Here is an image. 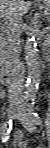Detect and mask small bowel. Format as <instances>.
Wrapping results in <instances>:
<instances>
[{
	"instance_id": "small-bowel-1",
	"label": "small bowel",
	"mask_w": 50,
	"mask_h": 148,
	"mask_svg": "<svg viewBox=\"0 0 50 148\" xmlns=\"http://www.w3.org/2000/svg\"><path fill=\"white\" fill-rule=\"evenodd\" d=\"M14 146L18 148L26 147L25 133L19 132L14 138Z\"/></svg>"
}]
</instances>
